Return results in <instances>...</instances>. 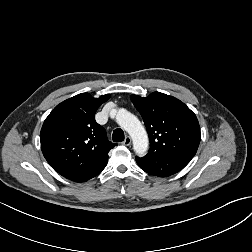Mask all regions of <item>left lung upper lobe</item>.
<instances>
[{"label":"left lung upper lobe","instance_id":"1","mask_svg":"<svg viewBox=\"0 0 252 252\" xmlns=\"http://www.w3.org/2000/svg\"><path fill=\"white\" fill-rule=\"evenodd\" d=\"M150 139L147 157L176 155L193 158L200 143L196 115L175 97L153 92L143 98L131 95Z\"/></svg>","mask_w":252,"mask_h":252}]
</instances>
